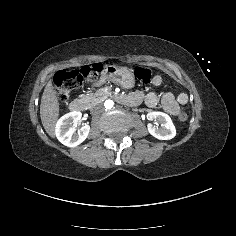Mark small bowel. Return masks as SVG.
<instances>
[{
  "instance_id": "obj_1",
  "label": "small bowel",
  "mask_w": 236,
  "mask_h": 236,
  "mask_svg": "<svg viewBox=\"0 0 236 236\" xmlns=\"http://www.w3.org/2000/svg\"><path fill=\"white\" fill-rule=\"evenodd\" d=\"M161 83V76L155 75L152 79V85L159 86ZM133 95L139 99V103L144 100L146 105L150 108H154L159 103V97L153 92H149L147 94H144L143 92H136ZM187 101L188 97L184 93L179 94L177 97H175L171 93H167L162 98V105L165 111H167L168 113L172 115H178L180 111V105L186 104Z\"/></svg>"
}]
</instances>
